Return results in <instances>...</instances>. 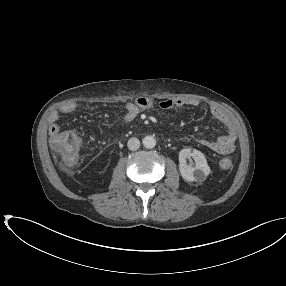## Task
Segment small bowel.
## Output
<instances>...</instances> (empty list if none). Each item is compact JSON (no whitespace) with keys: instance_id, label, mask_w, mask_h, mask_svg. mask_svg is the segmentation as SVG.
Returning <instances> with one entry per match:
<instances>
[{"instance_id":"obj_1","label":"small bowel","mask_w":286,"mask_h":286,"mask_svg":"<svg viewBox=\"0 0 286 286\" xmlns=\"http://www.w3.org/2000/svg\"><path fill=\"white\" fill-rule=\"evenodd\" d=\"M188 105L196 107L199 105V102L195 99L183 100V99H166L158 103V107L164 111H176L181 107ZM155 103L146 98L139 97L134 102L128 103L125 107L124 122L130 123L143 111L151 110L155 107ZM77 109L76 103H67L61 106V108L54 112L50 117V128L49 132L51 137L54 134L59 133L60 127L58 125V119L60 115H69ZM211 115L225 125L227 132L225 135L221 136L216 140L208 139H196V141L204 148L209 149L215 153L221 155L231 154L237 143L236 129L233 124L231 116L221 107L217 105H211L210 108Z\"/></svg>"}]
</instances>
